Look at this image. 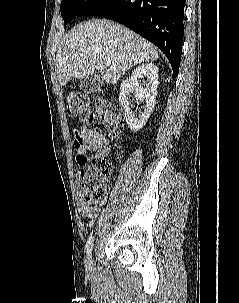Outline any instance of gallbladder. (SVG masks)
Masks as SVG:
<instances>
[{
    "label": "gallbladder",
    "instance_id": "1",
    "mask_svg": "<svg viewBox=\"0 0 239 303\" xmlns=\"http://www.w3.org/2000/svg\"><path fill=\"white\" fill-rule=\"evenodd\" d=\"M103 85V79L100 75V73H93L85 78H83L79 83V88L87 93H93L97 90H99Z\"/></svg>",
    "mask_w": 239,
    "mask_h": 303
}]
</instances>
